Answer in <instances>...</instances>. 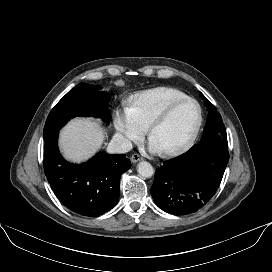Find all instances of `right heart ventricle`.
<instances>
[{"label":"right heart ventricle","mask_w":272,"mask_h":272,"mask_svg":"<svg viewBox=\"0 0 272 272\" xmlns=\"http://www.w3.org/2000/svg\"><path fill=\"white\" fill-rule=\"evenodd\" d=\"M187 95L172 87H155L132 95L129 99V109L136 119L148 128L154 117L169 103Z\"/></svg>","instance_id":"right-heart-ventricle-1"}]
</instances>
